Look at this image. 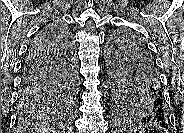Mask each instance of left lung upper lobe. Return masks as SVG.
I'll use <instances>...</instances> for the list:
<instances>
[{
  "instance_id": "1",
  "label": "left lung upper lobe",
  "mask_w": 184,
  "mask_h": 133,
  "mask_svg": "<svg viewBox=\"0 0 184 133\" xmlns=\"http://www.w3.org/2000/svg\"><path fill=\"white\" fill-rule=\"evenodd\" d=\"M107 59L111 99L118 114L136 125L156 123L154 117L159 112L168 115L166 102L155 107L151 86L157 89L158 70L138 36L126 30L113 34Z\"/></svg>"
}]
</instances>
